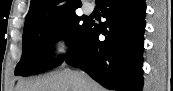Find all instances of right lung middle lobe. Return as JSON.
<instances>
[{
  "label": "right lung middle lobe",
  "instance_id": "right-lung-middle-lobe-1",
  "mask_svg": "<svg viewBox=\"0 0 173 91\" xmlns=\"http://www.w3.org/2000/svg\"><path fill=\"white\" fill-rule=\"evenodd\" d=\"M90 22L76 14L57 21H50L24 29L22 58L16 66L15 75L29 76L54 68L50 59L53 45L60 39L69 44L70 52L84 37Z\"/></svg>",
  "mask_w": 173,
  "mask_h": 91
}]
</instances>
